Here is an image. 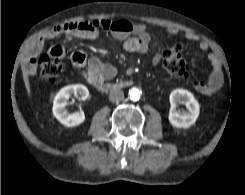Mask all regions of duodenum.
<instances>
[{
  "label": "duodenum",
  "mask_w": 245,
  "mask_h": 195,
  "mask_svg": "<svg viewBox=\"0 0 245 195\" xmlns=\"http://www.w3.org/2000/svg\"><path fill=\"white\" fill-rule=\"evenodd\" d=\"M128 82L98 84L97 87L104 91L118 90L128 85Z\"/></svg>",
  "instance_id": "410a0bca"
}]
</instances>
